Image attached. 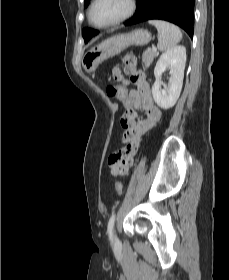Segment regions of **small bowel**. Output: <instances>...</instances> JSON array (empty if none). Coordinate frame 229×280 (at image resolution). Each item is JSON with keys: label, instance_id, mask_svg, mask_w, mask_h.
<instances>
[{"label": "small bowel", "instance_id": "c3829d8e", "mask_svg": "<svg viewBox=\"0 0 229 280\" xmlns=\"http://www.w3.org/2000/svg\"><path fill=\"white\" fill-rule=\"evenodd\" d=\"M113 75L115 79L122 81V85L116 87L109 86L107 93L110 96L116 97L128 108L125 115L131 116L132 121L126 127L122 140L132 142L133 149H135L140 137L160 120L162 110L155 104L151 87L144 78L136 82V89L128 92L126 89L128 82L122 80L119 68L113 70ZM139 113H143L145 118L138 120L137 116Z\"/></svg>", "mask_w": 229, "mask_h": 280}]
</instances>
